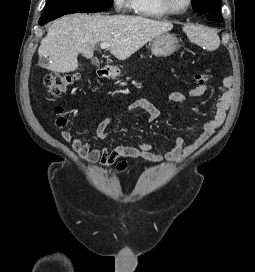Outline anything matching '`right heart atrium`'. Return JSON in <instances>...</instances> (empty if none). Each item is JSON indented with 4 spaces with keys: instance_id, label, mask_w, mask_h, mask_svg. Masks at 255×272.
<instances>
[{
    "instance_id": "1",
    "label": "right heart atrium",
    "mask_w": 255,
    "mask_h": 272,
    "mask_svg": "<svg viewBox=\"0 0 255 272\" xmlns=\"http://www.w3.org/2000/svg\"><path fill=\"white\" fill-rule=\"evenodd\" d=\"M113 5L118 12H127L133 8V0H113Z\"/></svg>"
}]
</instances>
